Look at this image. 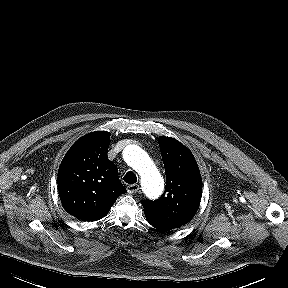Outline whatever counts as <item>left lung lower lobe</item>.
I'll list each match as a JSON object with an SVG mask.
<instances>
[{"label":"left lung lower lobe","instance_id":"left-lung-lower-lobe-1","mask_svg":"<svg viewBox=\"0 0 288 288\" xmlns=\"http://www.w3.org/2000/svg\"><path fill=\"white\" fill-rule=\"evenodd\" d=\"M148 222L153 226L155 227L156 229L160 230V231H169L171 230L169 227L167 226H163V225H160L159 223L155 222L154 220H151L150 218L146 217Z\"/></svg>","mask_w":288,"mask_h":288}]
</instances>
